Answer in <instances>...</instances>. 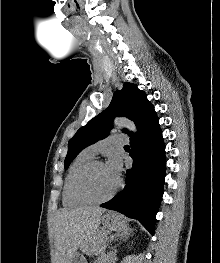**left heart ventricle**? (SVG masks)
I'll use <instances>...</instances> for the list:
<instances>
[{
	"instance_id": "b2bd125f",
	"label": "left heart ventricle",
	"mask_w": 220,
	"mask_h": 263,
	"mask_svg": "<svg viewBox=\"0 0 220 263\" xmlns=\"http://www.w3.org/2000/svg\"><path fill=\"white\" fill-rule=\"evenodd\" d=\"M117 180L111 175L105 164H100L95 166L85 178L84 189L93 197H103L114 189Z\"/></svg>"
}]
</instances>
